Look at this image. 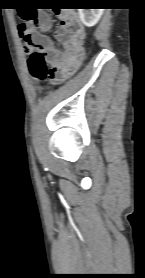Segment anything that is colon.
Returning a JSON list of instances; mask_svg holds the SVG:
<instances>
[{
    "instance_id": "1",
    "label": "colon",
    "mask_w": 145,
    "mask_h": 278,
    "mask_svg": "<svg viewBox=\"0 0 145 278\" xmlns=\"http://www.w3.org/2000/svg\"><path fill=\"white\" fill-rule=\"evenodd\" d=\"M36 14L30 10H24L22 12V18L24 20H33ZM20 37L27 50H32L28 58L29 73L32 79L36 82H41L49 78L50 68L46 61L45 56L37 50V44L34 37L23 30H20ZM72 75V71H68L64 76L59 79H55L56 84L65 82Z\"/></svg>"
}]
</instances>
